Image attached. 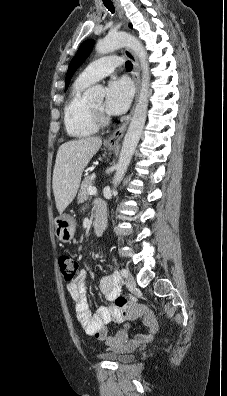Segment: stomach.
I'll list each match as a JSON object with an SVG mask.
<instances>
[{"mask_svg":"<svg viewBox=\"0 0 227 396\" xmlns=\"http://www.w3.org/2000/svg\"><path fill=\"white\" fill-rule=\"evenodd\" d=\"M109 150L115 147L108 146ZM76 222L74 218L68 214H61L55 219V234L61 242H70L74 237Z\"/></svg>","mask_w":227,"mask_h":396,"instance_id":"stomach-1","label":"stomach"}]
</instances>
